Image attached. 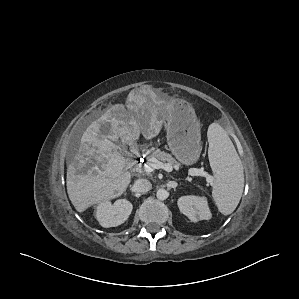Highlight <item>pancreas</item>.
I'll return each mask as SVG.
<instances>
[{"label":"pancreas","mask_w":299,"mask_h":299,"mask_svg":"<svg viewBox=\"0 0 299 299\" xmlns=\"http://www.w3.org/2000/svg\"><path fill=\"white\" fill-rule=\"evenodd\" d=\"M151 158H156L157 160H160L162 162H167L174 168L180 167V163H178L175 158H173L169 153H166L165 151H161L159 149L151 150L147 153L146 160L148 161Z\"/></svg>","instance_id":"pancreas-1"}]
</instances>
